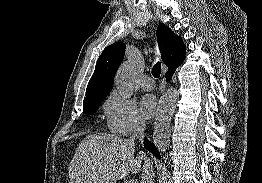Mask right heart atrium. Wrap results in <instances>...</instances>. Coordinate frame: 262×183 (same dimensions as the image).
I'll use <instances>...</instances> for the list:
<instances>
[{"label": "right heart atrium", "mask_w": 262, "mask_h": 183, "mask_svg": "<svg viewBox=\"0 0 262 183\" xmlns=\"http://www.w3.org/2000/svg\"><path fill=\"white\" fill-rule=\"evenodd\" d=\"M106 125L120 136H131L145 128V121L134 102L112 92L104 103Z\"/></svg>", "instance_id": "obj_1"}]
</instances>
